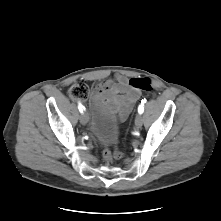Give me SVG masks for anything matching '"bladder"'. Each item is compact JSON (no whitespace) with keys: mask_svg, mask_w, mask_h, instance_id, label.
Listing matches in <instances>:
<instances>
[{"mask_svg":"<svg viewBox=\"0 0 221 221\" xmlns=\"http://www.w3.org/2000/svg\"><path fill=\"white\" fill-rule=\"evenodd\" d=\"M91 129L103 143L115 140L119 135V120L103 102L94 101L92 104Z\"/></svg>","mask_w":221,"mask_h":221,"instance_id":"obj_1","label":"bladder"}]
</instances>
